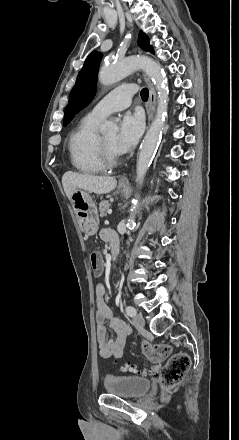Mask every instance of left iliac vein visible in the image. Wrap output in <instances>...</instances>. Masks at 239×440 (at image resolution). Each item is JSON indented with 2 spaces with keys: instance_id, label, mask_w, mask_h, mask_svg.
I'll return each instance as SVG.
<instances>
[{
  "instance_id": "1",
  "label": "left iliac vein",
  "mask_w": 239,
  "mask_h": 440,
  "mask_svg": "<svg viewBox=\"0 0 239 440\" xmlns=\"http://www.w3.org/2000/svg\"><path fill=\"white\" fill-rule=\"evenodd\" d=\"M133 323H134L135 327L139 330H142L145 327V320L141 314H137L134 316Z\"/></svg>"
}]
</instances>
